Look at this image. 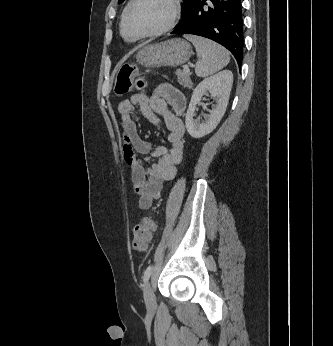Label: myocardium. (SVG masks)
I'll use <instances>...</instances> for the list:
<instances>
[{
  "label": "myocardium",
  "mask_w": 333,
  "mask_h": 346,
  "mask_svg": "<svg viewBox=\"0 0 333 346\" xmlns=\"http://www.w3.org/2000/svg\"><path fill=\"white\" fill-rule=\"evenodd\" d=\"M181 0H169V3L172 7V16L170 21L168 22L167 25H165L163 28L154 31V32H150V33H142V34H131L128 32L127 27H126V23H127V19L129 14L131 13L133 7L139 2V0H131L129 5L126 8V11L122 17V21H121V33L122 35L129 40H135V39H143V38H151V37H158L160 35H163L167 32H169L170 30H172L176 24L179 21L180 18V14H181Z\"/></svg>",
  "instance_id": "1"
}]
</instances>
